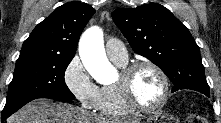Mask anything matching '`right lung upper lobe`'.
I'll return each instance as SVG.
<instances>
[{
  "label": "right lung upper lobe",
  "mask_w": 221,
  "mask_h": 123,
  "mask_svg": "<svg viewBox=\"0 0 221 123\" xmlns=\"http://www.w3.org/2000/svg\"><path fill=\"white\" fill-rule=\"evenodd\" d=\"M95 10L92 6L69 2L39 23L24 41L21 53L75 55L79 37Z\"/></svg>",
  "instance_id": "1"
}]
</instances>
